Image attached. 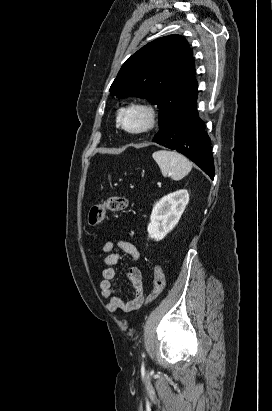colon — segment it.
Listing matches in <instances>:
<instances>
[{
	"label": "colon",
	"instance_id": "obj_1",
	"mask_svg": "<svg viewBox=\"0 0 272 411\" xmlns=\"http://www.w3.org/2000/svg\"><path fill=\"white\" fill-rule=\"evenodd\" d=\"M128 206V200L125 197L114 196L110 197L106 201L93 205L88 214V222L91 227H99L106 216L107 212H119L126 209ZM153 288L147 296L137 298L132 304L133 307H140L147 305L154 301L163 291L165 286L164 273L159 264H155L153 267Z\"/></svg>",
	"mask_w": 272,
	"mask_h": 411
}]
</instances>
